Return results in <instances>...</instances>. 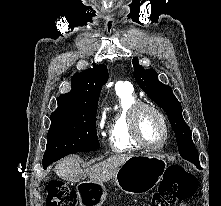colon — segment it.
Listing matches in <instances>:
<instances>
[{
  "label": "colon",
  "instance_id": "colon-1",
  "mask_svg": "<svg viewBox=\"0 0 221 206\" xmlns=\"http://www.w3.org/2000/svg\"><path fill=\"white\" fill-rule=\"evenodd\" d=\"M197 190L196 177L181 166H170L163 184L153 194L147 206H172L192 197ZM76 192L57 180L48 185L46 206H77Z\"/></svg>",
  "mask_w": 221,
  "mask_h": 206
}]
</instances>
